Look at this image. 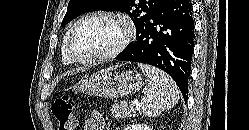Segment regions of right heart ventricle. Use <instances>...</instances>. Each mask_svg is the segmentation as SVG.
Masks as SVG:
<instances>
[{
    "label": "right heart ventricle",
    "mask_w": 249,
    "mask_h": 130,
    "mask_svg": "<svg viewBox=\"0 0 249 130\" xmlns=\"http://www.w3.org/2000/svg\"><path fill=\"white\" fill-rule=\"evenodd\" d=\"M68 32H66V34L64 35V38H63V42H62V48H61V53H62V59L65 63H70L71 61L68 59V57L66 56L65 54V41H66V38H67V35H68Z\"/></svg>",
    "instance_id": "obj_1"
}]
</instances>
